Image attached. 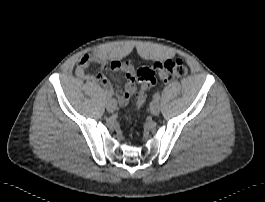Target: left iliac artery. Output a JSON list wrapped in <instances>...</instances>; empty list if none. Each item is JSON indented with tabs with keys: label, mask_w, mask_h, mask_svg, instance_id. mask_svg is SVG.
<instances>
[{
	"label": "left iliac artery",
	"mask_w": 265,
	"mask_h": 202,
	"mask_svg": "<svg viewBox=\"0 0 265 202\" xmlns=\"http://www.w3.org/2000/svg\"><path fill=\"white\" fill-rule=\"evenodd\" d=\"M154 99L158 101L160 99V94L159 93L154 94Z\"/></svg>",
	"instance_id": "obj_1"
}]
</instances>
